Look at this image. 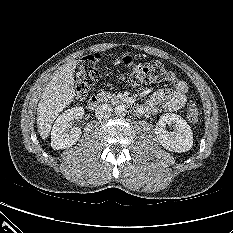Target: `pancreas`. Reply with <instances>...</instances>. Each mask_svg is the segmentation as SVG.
Segmentation results:
<instances>
[{
	"label": "pancreas",
	"mask_w": 233,
	"mask_h": 233,
	"mask_svg": "<svg viewBox=\"0 0 233 233\" xmlns=\"http://www.w3.org/2000/svg\"><path fill=\"white\" fill-rule=\"evenodd\" d=\"M99 97L102 99V100H113L116 98V95L115 94H111L109 92H101L99 93Z\"/></svg>",
	"instance_id": "1"
}]
</instances>
